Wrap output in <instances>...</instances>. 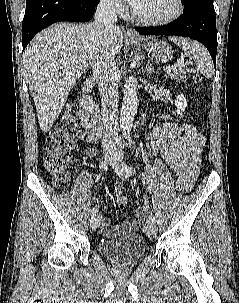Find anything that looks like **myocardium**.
I'll return each mask as SVG.
<instances>
[{"label":"myocardium","instance_id":"1","mask_svg":"<svg viewBox=\"0 0 239 303\" xmlns=\"http://www.w3.org/2000/svg\"><path fill=\"white\" fill-rule=\"evenodd\" d=\"M175 4H176L175 11L166 17H162V18L144 17V16L139 15L135 9L132 12V16L138 22L146 24V25H153V26L167 25V24H170V23L178 20L184 13V9H185L184 1L175 0Z\"/></svg>","mask_w":239,"mask_h":303}]
</instances>
